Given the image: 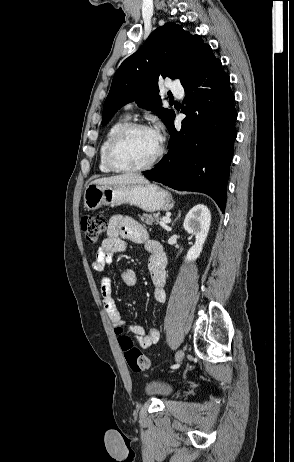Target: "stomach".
Wrapping results in <instances>:
<instances>
[{
  "instance_id": "stomach-1",
  "label": "stomach",
  "mask_w": 294,
  "mask_h": 462,
  "mask_svg": "<svg viewBox=\"0 0 294 462\" xmlns=\"http://www.w3.org/2000/svg\"><path fill=\"white\" fill-rule=\"evenodd\" d=\"M135 205L146 212L168 211L173 208L172 195L155 184H89L84 192V205L88 210L102 206Z\"/></svg>"
}]
</instances>
